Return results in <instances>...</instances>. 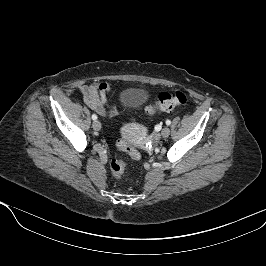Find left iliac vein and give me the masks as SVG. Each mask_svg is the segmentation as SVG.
<instances>
[{"mask_svg":"<svg viewBox=\"0 0 266 266\" xmlns=\"http://www.w3.org/2000/svg\"><path fill=\"white\" fill-rule=\"evenodd\" d=\"M161 135L163 138H167L170 135V129L168 127H164L161 131Z\"/></svg>","mask_w":266,"mask_h":266,"instance_id":"obj_1","label":"left iliac vein"}]
</instances>
